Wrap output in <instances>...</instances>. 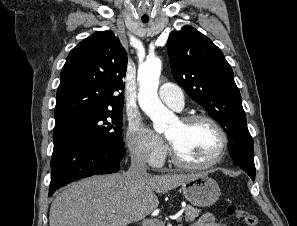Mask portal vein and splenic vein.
<instances>
[{"mask_svg":"<svg viewBox=\"0 0 297 226\" xmlns=\"http://www.w3.org/2000/svg\"><path fill=\"white\" fill-rule=\"evenodd\" d=\"M171 220H175V221H178L180 222L182 220V217L180 215H174V216H170L169 217ZM159 220L157 219H147L145 221H143V224L146 226H149L150 224H153V223H156L158 222Z\"/></svg>","mask_w":297,"mask_h":226,"instance_id":"portal-vein-and-splenic-vein-1","label":"portal vein and splenic vein"}]
</instances>
